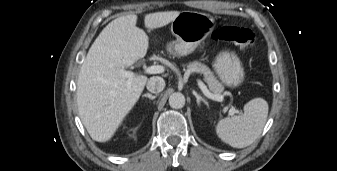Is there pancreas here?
Here are the masks:
<instances>
[{"mask_svg":"<svg viewBox=\"0 0 337 171\" xmlns=\"http://www.w3.org/2000/svg\"><path fill=\"white\" fill-rule=\"evenodd\" d=\"M187 68L204 75V79L208 84V87L213 94H221L224 90V86L217 80L213 72L204 64L194 61L187 65Z\"/></svg>","mask_w":337,"mask_h":171,"instance_id":"cf45deb5","label":"pancreas"}]
</instances>
